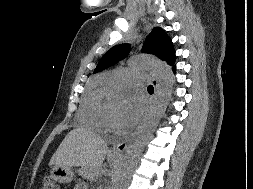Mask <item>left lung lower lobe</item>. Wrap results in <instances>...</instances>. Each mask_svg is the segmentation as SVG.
Returning <instances> with one entry per match:
<instances>
[{
	"instance_id": "0a47b994",
	"label": "left lung lower lobe",
	"mask_w": 253,
	"mask_h": 189,
	"mask_svg": "<svg viewBox=\"0 0 253 189\" xmlns=\"http://www.w3.org/2000/svg\"><path fill=\"white\" fill-rule=\"evenodd\" d=\"M172 69H173V71L175 72V67H173Z\"/></svg>"
}]
</instances>
